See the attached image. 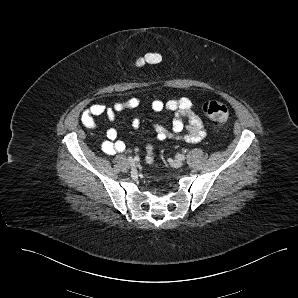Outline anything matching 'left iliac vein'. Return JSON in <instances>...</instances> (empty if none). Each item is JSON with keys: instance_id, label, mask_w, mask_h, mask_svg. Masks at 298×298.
I'll use <instances>...</instances> for the list:
<instances>
[{"instance_id": "4c4485c4", "label": "left iliac vein", "mask_w": 298, "mask_h": 298, "mask_svg": "<svg viewBox=\"0 0 298 298\" xmlns=\"http://www.w3.org/2000/svg\"><path fill=\"white\" fill-rule=\"evenodd\" d=\"M170 164H171V166L174 167V168H180V167L183 166V163H182L180 160H177V159L172 160V161L170 162Z\"/></svg>"}]
</instances>
